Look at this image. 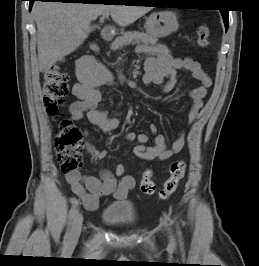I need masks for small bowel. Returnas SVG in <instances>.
Here are the masks:
<instances>
[{"label": "small bowel", "instance_id": "obj_1", "mask_svg": "<svg viewBox=\"0 0 259 266\" xmlns=\"http://www.w3.org/2000/svg\"><path fill=\"white\" fill-rule=\"evenodd\" d=\"M144 70L143 82L146 85L160 86L164 93H169L176 87L179 70L190 72L199 85L189 92L191 106L188 121L192 123L198 118L203 107V99L212 85V79L204 71L200 62L190 57H175L165 46L157 45L147 51ZM76 71L79 82L74 85L73 94L78 100L69 107L71 119L79 121L86 116L91 123L105 133L117 129L119 120L111 117L107 111L98 109L101 100L100 88L112 82L110 72L91 56L81 57ZM150 131L154 135L151 146L147 145L149 137L146 134L134 131H129L126 134L128 141L138 143L133 149L134 154L145 161L167 160L179 153L186 144L183 130L178 132L171 147L167 146L165 136L158 133L156 125L152 124ZM86 149L94 160H101L107 155L105 150L97 149L89 142L86 144ZM66 180L73 193L81 199L88 210H95L102 196L113 195L116 199H125L135 186L132 177L124 176L117 181L109 170H103L100 177L82 176L78 172L66 174Z\"/></svg>", "mask_w": 259, "mask_h": 266}]
</instances>
